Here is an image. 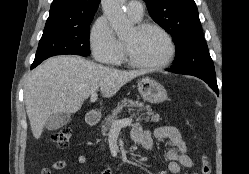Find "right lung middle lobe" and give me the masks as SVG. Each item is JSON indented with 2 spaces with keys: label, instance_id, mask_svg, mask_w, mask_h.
<instances>
[{
  "label": "right lung middle lobe",
  "instance_id": "obj_1",
  "mask_svg": "<svg viewBox=\"0 0 249 174\" xmlns=\"http://www.w3.org/2000/svg\"><path fill=\"white\" fill-rule=\"evenodd\" d=\"M92 20L78 25L44 31L39 41L34 62H42L55 55L75 54L88 56L90 54L89 25Z\"/></svg>",
  "mask_w": 249,
  "mask_h": 174
}]
</instances>
